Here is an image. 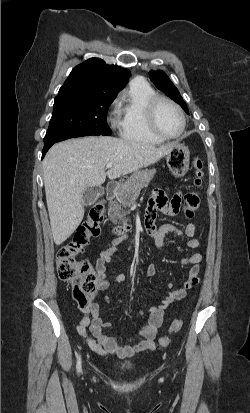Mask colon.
Wrapping results in <instances>:
<instances>
[{"label":"colon","mask_w":250,"mask_h":413,"mask_svg":"<svg viewBox=\"0 0 250 413\" xmlns=\"http://www.w3.org/2000/svg\"><path fill=\"white\" fill-rule=\"evenodd\" d=\"M195 176L194 186L199 187L203 177V163L199 158L193 161ZM200 206V196L197 191H190L184 196L182 209L187 218H192ZM181 207V206H180ZM104 204L96 203L89 211L85 222L80 225L73 235L72 240L61 247L56 258L57 274L63 281L72 284L73 297L79 306L93 304L96 293L97 272L84 260H78L90 240L99 234V224L103 218ZM183 326L181 318H176L168 331L158 340V347L167 346L174 334L178 333Z\"/></svg>","instance_id":"1"}]
</instances>
